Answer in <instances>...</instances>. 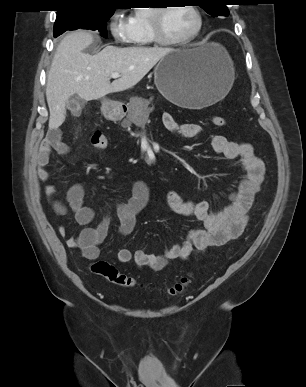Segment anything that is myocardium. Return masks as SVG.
Returning <instances> with one entry per match:
<instances>
[{
    "label": "myocardium",
    "mask_w": 306,
    "mask_h": 387,
    "mask_svg": "<svg viewBox=\"0 0 306 387\" xmlns=\"http://www.w3.org/2000/svg\"><path fill=\"white\" fill-rule=\"evenodd\" d=\"M186 7H188L195 15L196 26L188 36L181 39H170V38H167L163 33L162 18H163V14L169 7L167 6L156 7L150 11L149 26H150L151 35L155 43L162 46H181V45H186L197 38V36L200 34L203 28L202 13L199 10V8L195 5L189 4V5H186Z\"/></svg>",
    "instance_id": "1"
}]
</instances>
